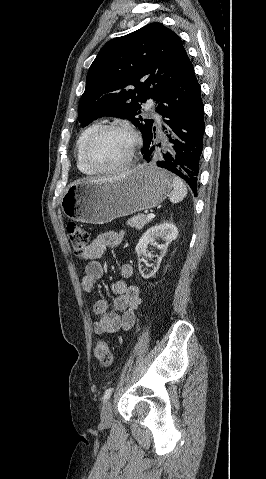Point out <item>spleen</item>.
Segmentation results:
<instances>
[{"label": "spleen", "instance_id": "1", "mask_svg": "<svg viewBox=\"0 0 266 479\" xmlns=\"http://www.w3.org/2000/svg\"><path fill=\"white\" fill-rule=\"evenodd\" d=\"M187 195V187L184 182L178 178H173L172 191L170 193V201L172 203H178L184 199Z\"/></svg>", "mask_w": 266, "mask_h": 479}]
</instances>
